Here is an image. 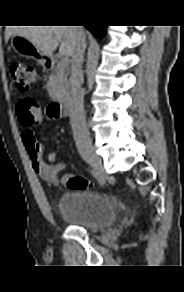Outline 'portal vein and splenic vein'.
Returning <instances> with one entry per match:
<instances>
[{"label": "portal vein and splenic vein", "mask_w": 184, "mask_h": 292, "mask_svg": "<svg viewBox=\"0 0 184 292\" xmlns=\"http://www.w3.org/2000/svg\"><path fill=\"white\" fill-rule=\"evenodd\" d=\"M60 64L62 66H67L68 65V57L62 55L61 60H60Z\"/></svg>", "instance_id": "obj_1"}]
</instances>
